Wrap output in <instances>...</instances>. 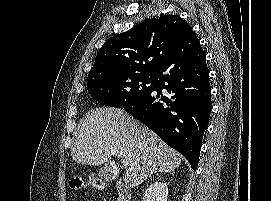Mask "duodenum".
Instances as JSON below:
<instances>
[{
    "mask_svg": "<svg viewBox=\"0 0 271 201\" xmlns=\"http://www.w3.org/2000/svg\"><path fill=\"white\" fill-rule=\"evenodd\" d=\"M116 201H131V191L129 187L122 182L116 184Z\"/></svg>",
    "mask_w": 271,
    "mask_h": 201,
    "instance_id": "obj_1",
    "label": "duodenum"
}]
</instances>
